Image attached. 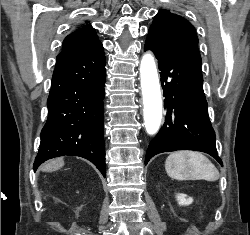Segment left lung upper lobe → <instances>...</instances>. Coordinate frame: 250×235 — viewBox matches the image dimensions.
Listing matches in <instances>:
<instances>
[{"label": "left lung upper lobe", "instance_id": "5c2ea615", "mask_svg": "<svg viewBox=\"0 0 250 235\" xmlns=\"http://www.w3.org/2000/svg\"><path fill=\"white\" fill-rule=\"evenodd\" d=\"M147 38L164 46L198 45L194 26L185 18L169 10H160L157 13L149 28Z\"/></svg>", "mask_w": 250, "mask_h": 235}]
</instances>
